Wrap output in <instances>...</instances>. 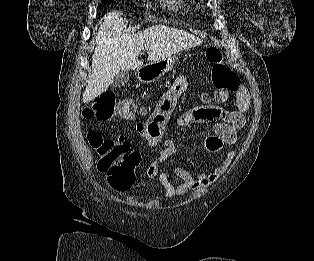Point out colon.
Wrapping results in <instances>:
<instances>
[{
  "label": "colon",
  "mask_w": 314,
  "mask_h": 261,
  "mask_svg": "<svg viewBox=\"0 0 314 261\" xmlns=\"http://www.w3.org/2000/svg\"><path fill=\"white\" fill-rule=\"evenodd\" d=\"M206 57L212 64L210 76L215 89L214 99L216 102H225L231 93L239 88L238 76L223 61L222 54L216 47H209ZM135 114L134 102L126 98L119 99L111 90L99 94L91 105L82 110L85 120L110 121L117 117L130 119ZM87 139L100 156L98 168L106 175L109 186L116 190L129 188L134 182L135 169L140 160L139 154L132 152L121 137L108 139L96 131H89Z\"/></svg>",
  "instance_id": "colon-1"
}]
</instances>
